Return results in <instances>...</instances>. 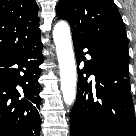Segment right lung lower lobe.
Instances as JSON below:
<instances>
[{"label":"right lung lower lobe","mask_w":136,"mask_h":136,"mask_svg":"<svg viewBox=\"0 0 136 136\" xmlns=\"http://www.w3.org/2000/svg\"><path fill=\"white\" fill-rule=\"evenodd\" d=\"M41 50L39 37L17 52L0 56V136H40Z\"/></svg>","instance_id":"right-lung-lower-lobe-1"}]
</instances>
